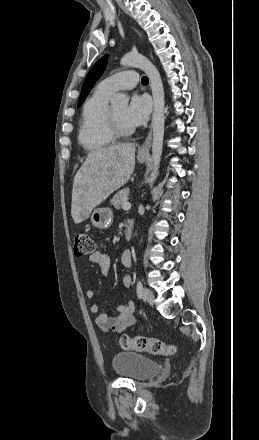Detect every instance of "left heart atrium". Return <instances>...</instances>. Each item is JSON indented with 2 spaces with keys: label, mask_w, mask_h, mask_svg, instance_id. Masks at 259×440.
Instances as JSON below:
<instances>
[{
  "label": "left heart atrium",
  "mask_w": 259,
  "mask_h": 440,
  "mask_svg": "<svg viewBox=\"0 0 259 440\" xmlns=\"http://www.w3.org/2000/svg\"><path fill=\"white\" fill-rule=\"evenodd\" d=\"M151 101L146 95L134 94L126 108L125 119L131 127L141 126L149 118Z\"/></svg>",
  "instance_id": "left-heart-atrium-1"
}]
</instances>
